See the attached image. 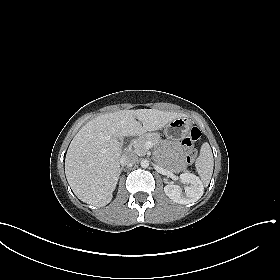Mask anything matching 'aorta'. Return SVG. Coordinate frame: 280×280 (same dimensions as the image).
<instances>
[{
    "label": "aorta",
    "mask_w": 280,
    "mask_h": 280,
    "mask_svg": "<svg viewBox=\"0 0 280 280\" xmlns=\"http://www.w3.org/2000/svg\"><path fill=\"white\" fill-rule=\"evenodd\" d=\"M140 164L142 168H147L149 166V161L147 159H143Z\"/></svg>",
    "instance_id": "obj_1"
}]
</instances>
